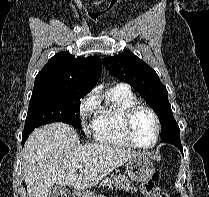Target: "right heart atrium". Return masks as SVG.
<instances>
[{
    "label": "right heart atrium",
    "instance_id": "1",
    "mask_svg": "<svg viewBox=\"0 0 209 197\" xmlns=\"http://www.w3.org/2000/svg\"><path fill=\"white\" fill-rule=\"evenodd\" d=\"M99 99L94 91L88 93L82 100L79 106V116L84 128L87 131L91 130V127L87 125V120L97 115L99 112Z\"/></svg>",
    "mask_w": 209,
    "mask_h": 197
}]
</instances>
